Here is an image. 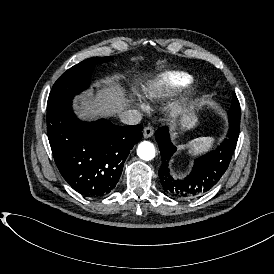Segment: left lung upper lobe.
<instances>
[{"label": "left lung upper lobe", "instance_id": "obj_1", "mask_svg": "<svg viewBox=\"0 0 274 274\" xmlns=\"http://www.w3.org/2000/svg\"><path fill=\"white\" fill-rule=\"evenodd\" d=\"M228 114H229V121L240 122V117H241L240 104L235 93L233 94L232 106Z\"/></svg>", "mask_w": 274, "mask_h": 274}]
</instances>
